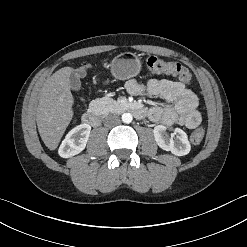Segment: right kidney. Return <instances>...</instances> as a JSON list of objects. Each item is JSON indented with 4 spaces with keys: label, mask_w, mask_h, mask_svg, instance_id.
<instances>
[{
    "label": "right kidney",
    "mask_w": 247,
    "mask_h": 247,
    "mask_svg": "<svg viewBox=\"0 0 247 247\" xmlns=\"http://www.w3.org/2000/svg\"><path fill=\"white\" fill-rule=\"evenodd\" d=\"M90 132L89 124H80L73 128L62 141L58 154L62 158H69L82 152L86 147Z\"/></svg>",
    "instance_id": "1"
}]
</instances>
